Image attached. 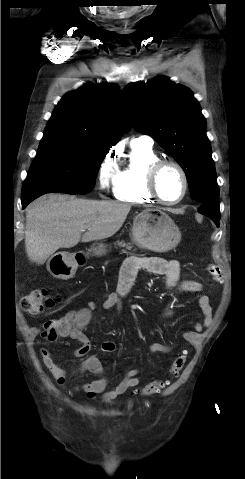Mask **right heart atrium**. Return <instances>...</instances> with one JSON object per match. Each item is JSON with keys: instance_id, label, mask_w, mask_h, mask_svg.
I'll return each mask as SVG.
<instances>
[{"instance_id": "right-heart-atrium-1", "label": "right heart atrium", "mask_w": 245, "mask_h": 479, "mask_svg": "<svg viewBox=\"0 0 245 479\" xmlns=\"http://www.w3.org/2000/svg\"><path fill=\"white\" fill-rule=\"evenodd\" d=\"M117 175V167L114 156L107 155L99 165L97 182L98 188L102 192L110 190L114 186Z\"/></svg>"}]
</instances>
